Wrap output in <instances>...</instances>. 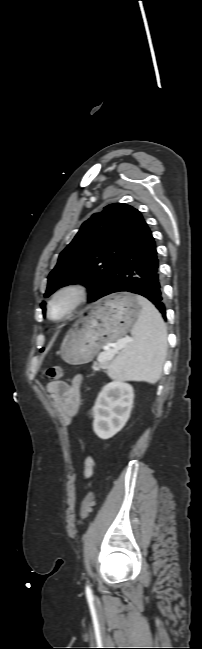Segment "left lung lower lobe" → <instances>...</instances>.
I'll return each mask as SVG.
<instances>
[{
  "label": "left lung lower lobe",
  "mask_w": 202,
  "mask_h": 649,
  "mask_svg": "<svg viewBox=\"0 0 202 649\" xmlns=\"http://www.w3.org/2000/svg\"><path fill=\"white\" fill-rule=\"evenodd\" d=\"M158 268L155 241L144 221L126 244L96 300L115 292L136 293L150 300L166 320Z\"/></svg>",
  "instance_id": "obj_1"
}]
</instances>
